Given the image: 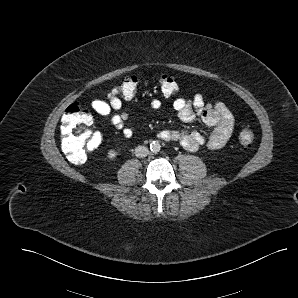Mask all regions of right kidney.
Here are the masks:
<instances>
[{"label": "right kidney", "instance_id": "obj_1", "mask_svg": "<svg viewBox=\"0 0 298 298\" xmlns=\"http://www.w3.org/2000/svg\"><path fill=\"white\" fill-rule=\"evenodd\" d=\"M118 157V150L116 149H109L106 153V159L108 161H114Z\"/></svg>", "mask_w": 298, "mask_h": 298}]
</instances>
